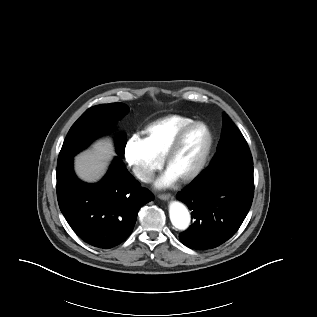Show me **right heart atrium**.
Masks as SVG:
<instances>
[{
	"mask_svg": "<svg viewBox=\"0 0 317 317\" xmlns=\"http://www.w3.org/2000/svg\"><path fill=\"white\" fill-rule=\"evenodd\" d=\"M124 157L134 176L144 183L151 181L154 173L162 166V159L155 156L137 135L127 141Z\"/></svg>",
	"mask_w": 317,
	"mask_h": 317,
	"instance_id": "right-heart-atrium-1",
	"label": "right heart atrium"
}]
</instances>
